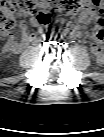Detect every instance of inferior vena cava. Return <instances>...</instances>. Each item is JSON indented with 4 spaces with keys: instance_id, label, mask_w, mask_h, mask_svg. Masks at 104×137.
<instances>
[{
    "instance_id": "602c4592",
    "label": "inferior vena cava",
    "mask_w": 104,
    "mask_h": 137,
    "mask_svg": "<svg viewBox=\"0 0 104 137\" xmlns=\"http://www.w3.org/2000/svg\"><path fill=\"white\" fill-rule=\"evenodd\" d=\"M38 43L39 44H42V45H45V44H47L48 43V36L47 35H44V34H42V35H39L38 36Z\"/></svg>"
}]
</instances>
